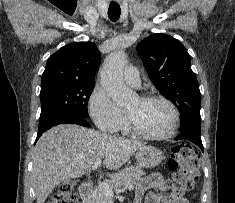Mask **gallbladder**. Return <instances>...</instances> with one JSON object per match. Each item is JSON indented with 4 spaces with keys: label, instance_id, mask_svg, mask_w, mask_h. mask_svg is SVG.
Segmentation results:
<instances>
[{
    "label": "gallbladder",
    "instance_id": "1",
    "mask_svg": "<svg viewBox=\"0 0 235 203\" xmlns=\"http://www.w3.org/2000/svg\"><path fill=\"white\" fill-rule=\"evenodd\" d=\"M64 185H76V181L74 179H69V180H64L63 181Z\"/></svg>",
    "mask_w": 235,
    "mask_h": 203
}]
</instances>
